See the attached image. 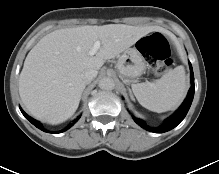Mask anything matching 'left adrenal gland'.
Segmentation results:
<instances>
[{
    "mask_svg": "<svg viewBox=\"0 0 219 174\" xmlns=\"http://www.w3.org/2000/svg\"><path fill=\"white\" fill-rule=\"evenodd\" d=\"M129 92H130V95H131V93H132V92H131V90H130V89H129ZM131 97H132V99H133V96H131Z\"/></svg>",
    "mask_w": 219,
    "mask_h": 174,
    "instance_id": "a2214340",
    "label": "left adrenal gland"
}]
</instances>
